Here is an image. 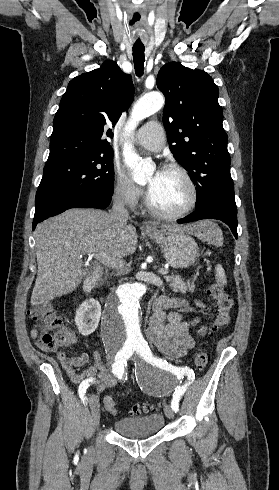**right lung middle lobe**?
<instances>
[{"mask_svg":"<svg viewBox=\"0 0 279 490\" xmlns=\"http://www.w3.org/2000/svg\"><path fill=\"white\" fill-rule=\"evenodd\" d=\"M113 187V150H101L84 157L47 162L35 203L54 193L84 192L112 197Z\"/></svg>","mask_w":279,"mask_h":490,"instance_id":"right-lung-middle-lobe-1","label":"right lung middle lobe"}]
</instances>
